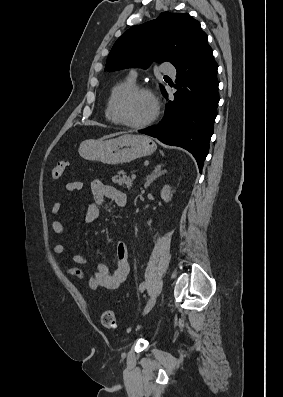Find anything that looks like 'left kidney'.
Returning a JSON list of instances; mask_svg holds the SVG:
<instances>
[{"instance_id":"1","label":"left kidney","mask_w":283,"mask_h":397,"mask_svg":"<svg viewBox=\"0 0 283 397\" xmlns=\"http://www.w3.org/2000/svg\"><path fill=\"white\" fill-rule=\"evenodd\" d=\"M172 192H171V188L169 185H165L163 186L162 190H161V198L164 202H169L172 199ZM152 223V220H149L147 222L148 226H150Z\"/></svg>"}]
</instances>
